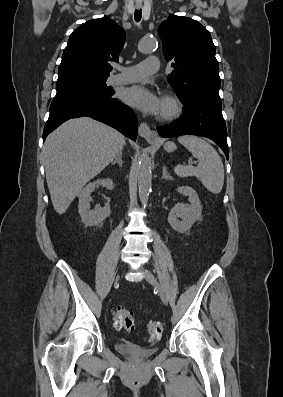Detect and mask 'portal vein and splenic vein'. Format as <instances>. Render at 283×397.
<instances>
[{
  "mask_svg": "<svg viewBox=\"0 0 283 397\" xmlns=\"http://www.w3.org/2000/svg\"><path fill=\"white\" fill-rule=\"evenodd\" d=\"M189 163H190V164H194V162H192V161H189Z\"/></svg>",
  "mask_w": 283,
  "mask_h": 397,
  "instance_id": "18ae733b",
  "label": "portal vein and splenic vein"
}]
</instances>
